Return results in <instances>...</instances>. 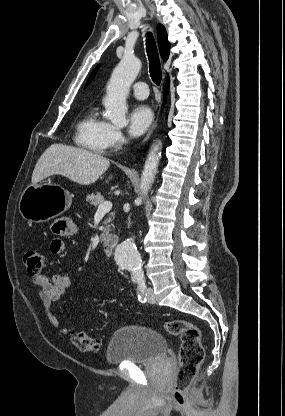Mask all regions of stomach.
Masks as SVG:
<instances>
[{"mask_svg": "<svg viewBox=\"0 0 285 416\" xmlns=\"http://www.w3.org/2000/svg\"><path fill=\"white\" fill-rule=\"evenodd\" d=\"M72 204V196L59 184H36L24 190L19 212L28 222H48L64 214Z\"/></svg>", "mask_w": 285, "mask_h": 416, "instance_id": "1", "label": "stomach"}]
</instances>
